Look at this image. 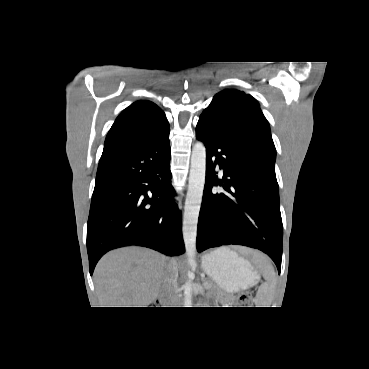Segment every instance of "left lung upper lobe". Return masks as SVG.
Masks as SVG:
<instances>
[{"label": "left lung upper lobe", "mask_w": 369, "mask_h": 369, "mask_svg": "<svg viewBox=\"0 0 369 369\" xmlns=\"http://www.w3.org/2000/svg\"><path fill=\"white\" fill-rule=\"evenodd\" d=\"M200 117L211 120L233 140L258 151L275 169L276 149L269 123L251 95L235 89L221 91Z\"/></svg>", "instance_id": "obj_1"}]
</instances>
